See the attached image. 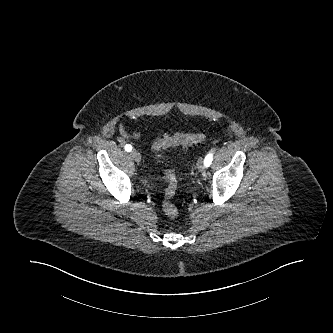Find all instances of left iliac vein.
<instances>
[{
    "label": "left iliac vein",
    "instance_id": "4c4485c4",
    "mask_svg": "<svg viewBox=\"0 0 333 333\" xmlns=\"http://www.w3.org/2000/svg\"><path fill=\"white\" fill-rule=\"evenodd\" d=\"M197 168L199 170V172H204L206 170V166L204 164V160L203 158H200L197 162Z\"/></svg>",
    "mask_w": 333,
    "mask_h": 333
}]
</instances>
